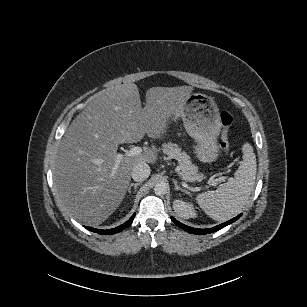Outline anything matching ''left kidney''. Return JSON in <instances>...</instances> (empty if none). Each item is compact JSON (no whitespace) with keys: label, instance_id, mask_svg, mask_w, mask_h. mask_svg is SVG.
<instances>
[{"label":"left kidney","instance_id":"1","mask_svg":"<svg viewBox=\"0 0 307 307\" xmlns=\"http://www.w3.org/2000/svg\"><path fill=\"white\" fill-rule=\"evenodd\" d=\"M173 210L184 219L198 218L199 213L194 204L184 198H176L172 202Z\"/></svg>","mask_w":307,"mask_h":307}]
</instances>
